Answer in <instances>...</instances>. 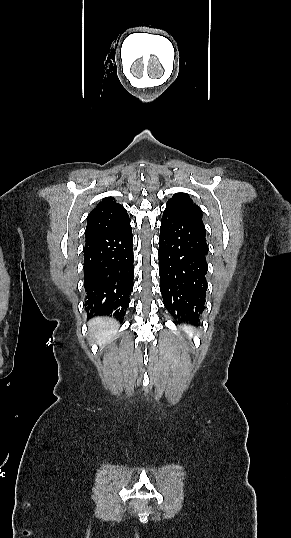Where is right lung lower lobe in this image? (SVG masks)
I'll list each match as a JSON object with an SVG mask.
<instances>
[{
    "mask_svg": "<svg viewBox=\"0 0 291 538\" xmlns=\"http://www.w3.org/2000/svg\"><path fill=\"white\" fill-rule=\"evenodd\" d=\"M133 261L130 220L86 237L83 269L88 316L124 317L133 290Z\"/></svg>",
    "mask_w": 291,
    "mask_h": 538,
    "instance_id": "1",
    "label": "right lung lower lobe"
}]
</instances>
